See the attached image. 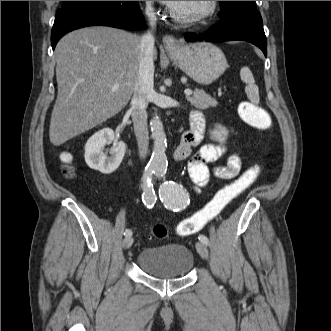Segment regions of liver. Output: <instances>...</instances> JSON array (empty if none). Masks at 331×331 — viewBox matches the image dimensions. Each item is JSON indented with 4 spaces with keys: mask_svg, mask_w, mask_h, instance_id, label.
<instances>
[{
    "mask_svg": "<svg viewBox=\"0 0 331 331\" xmlns=\"http://www.w3.org/2000/svg\"><path fill=\"white\" fill-rule=\"evenodd\" d=\"M140 44L138 35L102 26L61 38L55 48L58 94L49 127L54 146L103 123L128 104L138 77Z\"/></svg>",
    "mask_w": 331,
    "mask_h": 331,
    "instance_id": "obj_1",
    "label": "liver"
}]
</instances>
